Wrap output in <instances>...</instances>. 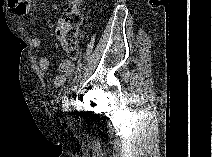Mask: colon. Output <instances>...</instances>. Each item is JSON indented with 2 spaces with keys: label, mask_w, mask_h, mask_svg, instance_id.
I'll return each mask as SVG.
<instances>
[{
  "label": "colon",
  "mask_w": 212,
  "mask_h": 157,
  "mask_svg": "<svg viewBox=\"0 0 212 157\" xmlns=\"http://www.w3.org/2000/svg\"><path fill=\"white\" fill-rule=\"evenodd\" d=\"M64 20L67 28L58 36L57 40L64 52L74 58L78 55L79 28L83 23V5L73 4L65 9Z\"/></svg>",
  "instance_id": "5ec220e1"
}]
</instances>
